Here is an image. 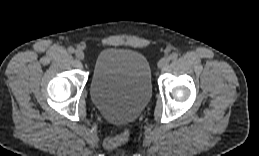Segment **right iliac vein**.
<instances>
[{
	"instance_id": "63e3f726",
	"label": "right iliac vein",
	"mask_w": 259,
	"mask_h": 156,
	"mask_svg": "<svg viewBox=\"0 0 259 156\" xmlns=\"http://www.w3.org/2000/svg\"><path fill=\"white\" fill-rule=\"evenodd\" d=\"M75 56H76L79 60H83L84 57H85L84 52H83L82 50H76Z\"/></svg>"
}]
</instances>
